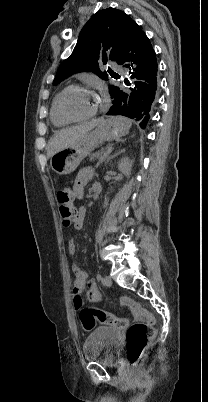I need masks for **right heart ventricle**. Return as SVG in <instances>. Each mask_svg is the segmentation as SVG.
<instances>
[{"label": "right heart ventricle", "mask_w": 208, "mask_h": 402, "mask_svg": "<svg viewBox=\"0 0 208 402\" xmlns=\"http://www.w3.org/2000/svg\"><path fill=\"white\" fill-rule=\"evenodd\" d=\"M58 95L55 96V98L52 101L51 104V109H50V120L52 124L56 128H64L67 126H70L71 124L75 123L69 120H66L59 112L58 105H57V100H58Z\"/></svg>", "instance_id": "e07e8e85"}]
</instances>
